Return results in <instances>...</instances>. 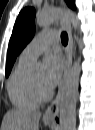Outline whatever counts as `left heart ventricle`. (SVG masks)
<instances>
[{
	"instance_id": "1",
	"label": "left heart ventricle",
	"mask_w": 95,
	"mask_h": 130,
	"mask_svg": "<svg viewBox=\"0 0 95 130\" xmlns=\"http://www.w3.org/2000/svg\"><path fill=\"white\" fill-rule=\"evenodd\" d=\"M33 80L38 84L40 85L41 87L47 89L44 85V75L43 74H40L36 77L33 78Z\"/></svg>"
}]
</instances>
